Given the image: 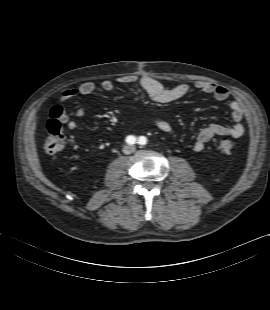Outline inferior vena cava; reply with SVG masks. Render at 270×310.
<instances>
[{
  "label": "inferior vena cava",
  "instance_id": "inferior-vena-cava-1",
  "mask_svg": "<svg viewBox=\"0 0 270 310\" xmlns=\"http://www.w3.org/2000/svg\"><path fill=\"white\" fill-rule=\"evenodd\" d=\"M125 151L126 154H130L134 151V148L132 146H127Z\"/></svg>",
  "mask_w": 270,
  "mask_h": 310
}]
</instances>
